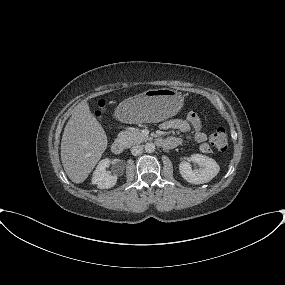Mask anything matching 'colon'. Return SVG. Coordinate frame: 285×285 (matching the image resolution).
Returning a JSON list of instances; mask_svg holds the SVG:
<instances>
[{
	"label": "colon",
	"mask_w": 285,
	"mask_h": 285,
	"mask_svg": "<svg viewBox=\"0 0 285 285\" xmlns=\"http://www.w3.org/2000/svg\"><path fill=\"white\" fill-rule=\"evenodd\" d=\"M210 142L219 151H225L228 146L226 130L223 127L215 129L210 135ZM200 149L204 153L211 151V147L207 144L202 145Z\"/></svg>",
	"instance_id": "colon-1"
}]
</instances>
